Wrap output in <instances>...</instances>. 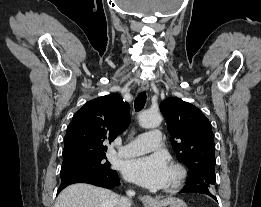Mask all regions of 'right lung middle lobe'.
<instances>
[{"label": "right lung middle lobe", "instance_id": "right-lung-middle-lobe-1", "mask_svg": "<svg viewBox=\"0 0 261 207\" xmlns=\"http://www.w3.org/2000/svg\"><path fill=\"white\" fill-rule=\"evenodd\" d=\"M106 155H88L64 160L60 176L64 177L76 174H95V173H113L108 161H105Z\"/></svg>", "mask_w": 261, "mask_h": 207}]
</instances>
